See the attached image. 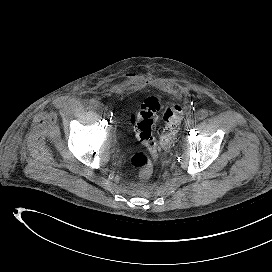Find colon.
Instances as JSON below:
<instances>
[{"label": "colon", "instance_id": "obj_1", "mask_svg": "<svg viewBox=\"0 0 272 272\" xmlns=\"http://www.w3.org/2000/svg\"><path fill=\"white\" fill-rule=\"evenodd\" d=\"M183 110L184 106L180 103H164L156 97H149L131 116V124L146 149L134 153L130 164L142 177L147 178L152 174V154L167 150L173 145ZM160 112L163 114L165 129L156 138L153 129L155 118Z\"/></svg>", "mask_w": 272, "mask_h": 272}]
</instances>
